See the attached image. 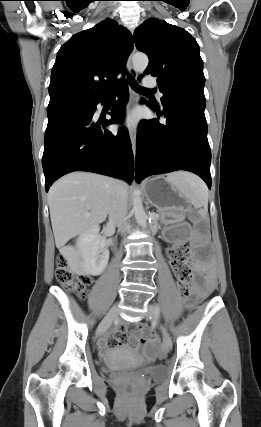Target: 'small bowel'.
<instances>
[{
    "label": "small bowel",
    "instance_id": "c3829d8e",
    "mask_svg": "<svg viewBox=\"0 0 261 427\" xmlns=\"http://www.w3.org/2000/svg\"><path fill=\"white\" fill-rule=\"evenodd\" d=\"M211 286V282L209 281L207 285H196L194 287V297L190 301V304L195 303L199 297L206 294L209 291V288ZM131 329L133 331H138L140 329V324L138 322H133L131 324ZM125 334V327L120 326L116 331L115 334L109 335L105 342L101 341V347H108L113 348L117 345L121 344L123 341V336ZM130 345L134 348L138 347V338L136 335H132L129 338ZM157 351V340L152 339L149 344L146 347V353L149 356H153Z\"/></svg>",
    "mask_w": 261,
    "mask_h": 427
}]
</instances>
